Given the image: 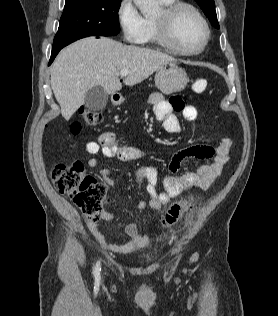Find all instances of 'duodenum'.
I'll use <instances>...</instances> for the list:
<instances>
[{
    "instance_id": "1",
    "label": "duodenum",
    "mask_w": 278,
    "mask_h": 316,
    "mask_svg": "<svg viewBox=\"0 0 278 316\" xmlns=\"http://www.w3.org/2000/svg\"><path fill=\"white\" fill-rule=\"evenodd\" d=\"M120 101H121V96L120 95H118V94L113 95L112 102L114 104H118Z\"/></svg>"
}]
</instances>
